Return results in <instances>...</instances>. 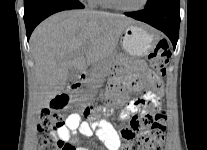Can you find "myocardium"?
<instances>
[{
  "label": "myocardium",
  "mask_w": 207,
  "mask_h": 150,
  "mask_svg": "<svg viewBox=\"0 0 207 150\" xmlns=\"http://www.w3.org/2000/svg\"><path fill=\"white\" fill-rule=\"evenodd\" d=\"M109 1L113 5V7H115L116 9L124 11V12H129V13L139 12V11L143 10L149 2V0H143V3L137 8H126V7H123L119 3L118 0H109Z\"/></svg>",
  "instance_id": "myocardium-1"
}]
</instances>
